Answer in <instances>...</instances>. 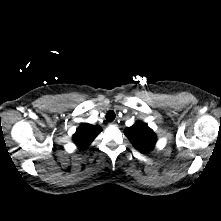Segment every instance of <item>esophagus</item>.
I'll use <instances>...</instances> for the list:
<instances>
[{"label":"esophagus","instance_id":"34e87169","mask_svg":"<svg viewBox=\"0 0 221 221\" xmlns=\"http://www.w3.org/2000/svg\"><path fill=\"white\" fill-rule=\"evenodd\" d=\"M110 125L117 126V123L116 122H111Z\"/></svg>","mask_w":221,"mask_h":221}]
</instances>
